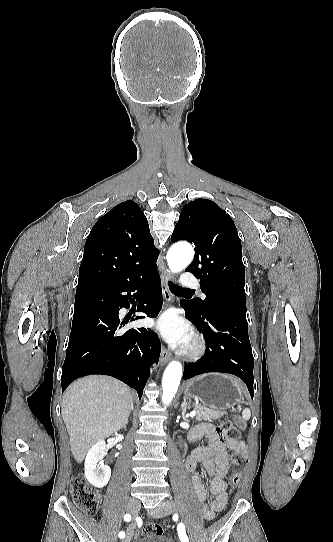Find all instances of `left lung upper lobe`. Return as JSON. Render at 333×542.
Wrapping results in <instances>:
<instances>
[{
	"instance_id": "5c2ea615",
	"label": "left lung upper lobe",
	"mask_w": 333,
	"mask_h": 542,
	"mask_svg": "<svg viewBox=\"0 0 333 542\" xmlns=\"http://www.w3.org/2000/svg\"><path fill=\"white\" fill-rule=\"evenodd\" d=\"M195 245V256L186 271L200 279L204 300H185L193 319L207 325L222 308L246 311L245 268L241 241L231 217L213 201L196 199L180 213L171 241Z\"/></svg>"
}]
</instances>
